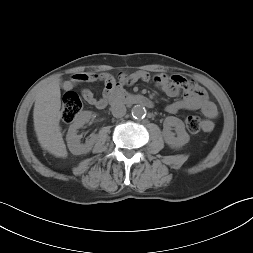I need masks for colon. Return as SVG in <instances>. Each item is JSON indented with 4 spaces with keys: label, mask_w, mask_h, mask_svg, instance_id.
Here are the masks:
<instances>
[{
    "label": "colon",
    "mask_w": 253,
    "mask_h": 253,
    "mask_svg": "<svg viewBox=\"0 0 253 253\" xmlns=\"http://www.w3.org/2000/svg\"><path fill=\"white\" fill-rule=\"evenodd\" d=\"M83 104L79 96L74 92H67L63 97L61 117L66 123L72 122L81 112ZM185 124L189 132L198 133L203 129L204 121L195 115L187 116Z\"/></svg>",
    "instance_id": "obj_1"
}]
</instances>
